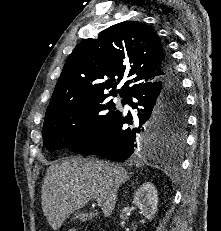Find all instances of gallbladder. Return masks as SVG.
Masks as SVG:
<instances>
[{"label": "gallbladder", "mask_w": 221, "mask_h": 231, "mask_svg": "<svg viewBox=\"0 0 221 231\" xmlns=\"http://www.w3.org/2000/svg\"><path fill=\"white\" fill-rule=\"evenodd\" d=\"M93 214L92 213H86V212H82V211H77L74 214L73 220H79L81 222L87 221L92 219Z\"/></svg>", "instance_id": "gallbladder-1"}]
</instances>
